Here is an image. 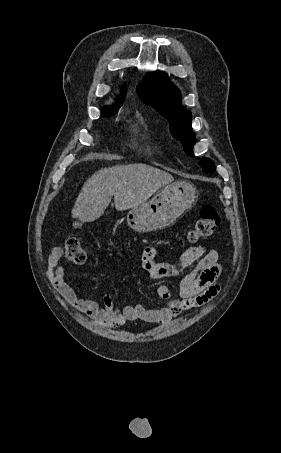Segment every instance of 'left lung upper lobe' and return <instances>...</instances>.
Instances as JSON below:
<instances>
[{
    "label": "left lung upper lobe",
    "instance_id": "left-lung-upper-lobe-1",
    "mask_svg": "<svg viewBox=\"0 0 281 453\" xmlns=\"http://www.w3.org/2000/svg\"><path fill=\"white\" fill-rule=\"evenodd\" d=\"M139 98L147 105L153 106L170 121V130L180 140L187 155L193 156L192 146L196 142L191 127V112L181 106L178 90L161 73H148L137 86ZM198 164L204 171H214V162L201 159Z\"/></svg>",
    "mask_w": 281,
    "mask_h": 453
}]
</instances>
